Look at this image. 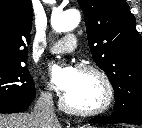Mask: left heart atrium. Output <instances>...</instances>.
<instances>
[{"mask_svg":"<svg viewBox=\"0 0 142 128\" xmlns=\"http://www.w3.org/2000/svg\"><path fill=\"white\" fill-rule=\"evenodd\" d=\"M49 77L53 86L66 96L77 84L78 71L65 65H52L49 69Z\"/></svg>","mask_w":142,"mask_h":128,"instance_id":"left-heart-atrium-1","label":"left heart atrium"}]
</instances>
